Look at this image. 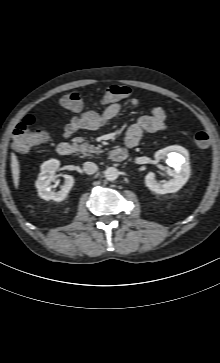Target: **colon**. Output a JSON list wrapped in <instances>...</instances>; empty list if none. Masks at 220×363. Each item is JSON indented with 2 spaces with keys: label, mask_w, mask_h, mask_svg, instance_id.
<instances>
[{
  "label": "colon",
  "mask_w": 220,
  "mask_h": 363,
  "mask_svg": "<svg viewBox=\"0 0 220 363\" xmlns=\"http://www.w3.org/2000/svg\"><path fill=\"white\" fill-rule=\"evenodd\" d=\"M131 88L125 85H111L107 87L101 96L103 103L118 102L132 95ZM83 95L77 91L66 93L60 100L61 105L69 110H79L83 106ZM36 124L34 115H27L15 127L13 131L12 147L17 152H27L35 146L45 142L48 139V133L43 130H35L33 127ZM195 143L205 148L210 144V136L205 131H198L194 135Z\"/></svg>",
  "instance_id": "5ec220e1"
}]
</instances>
